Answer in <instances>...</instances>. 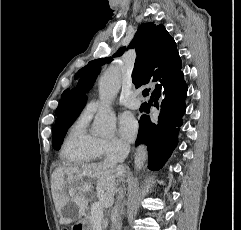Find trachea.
<instances>
[{"instance_id": "trachea-1", "label": "trachea", "mask_w": 241, "mask_h": 230, "mask_svg": "<svg viewBox=\"0 0 241 230\" xmlns=\"http://www.w3.org/2000/svg\"><path fill=\"white\" fill-rule=\"evenodd\" d=\"M143 96H148L149 95V90L148 89H145L143 92H142Z\"/></svg>"}]
</instances>
